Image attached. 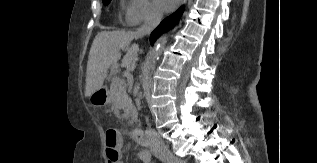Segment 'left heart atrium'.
I'll list each match as a JSON object with an SVG mask.
<instances>
[{"label": "left heart atrium", "instance_id": "obj_1", "mask_svg": "<svg viewBox=\"0 0 317 163\" xmlns=\"http://www.w3.org/2000/svg\"><path fill=\"white\" fill-rule=\"evenodd\" d=\"M179 0H156L157 6L163 11H171Z\"/></svg>", "mask_w": 317, "mask_h": 163}]
</instances>
